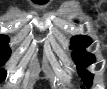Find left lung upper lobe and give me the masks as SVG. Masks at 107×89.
<instances>
[{
  "label": "left lung upper lobe",
  "instance_id": "5c2ea615",
  "mask_svg": "<svg viewBox=\"0 0 107 89\" xmlns=\"http://www.w3.org/2000/svg\"><path fill=\"white\" fill-rule=\"evenodd\" d=\"M91 43L92 40L88 36H74L71 39V49L74 50L72 56L78 65V72L87 88L92 85L93 74L86 71L84 67L95 62L94 56L85 50L86 46Z\"/></svg>",
  "mask_w": 107,
  "mask_h": 89
}]
</instances>
